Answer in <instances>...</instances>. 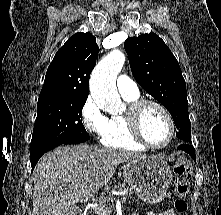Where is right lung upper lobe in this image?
Returning <instances> with one entry per match:
<instances>
[{
  "label": "right lung upper lobe",
  "instance_id": "obj_1",
  "mask_svg": "<svg viewBox=\"0 0 221 215\" xmlns=\"http://www.w3.org/2000/svg\"><path fill=\"white\" fill-rule=\"evenodd\" d=\"M98 52L92 34L78 32L70 37L47 69L38 102L55 98H87L89 78Z\"/></svg>",
  "mask_w": 221,
  "mask_h": 215
}]
</instances>
